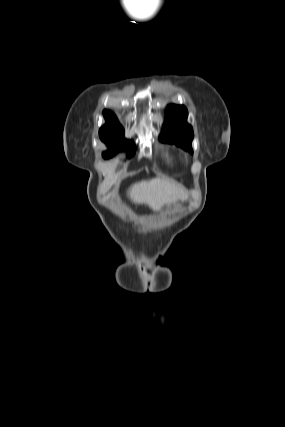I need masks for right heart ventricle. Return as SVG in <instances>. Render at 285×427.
I'll use <instances>...</instances> for the list:
<instances>
[{
  "instance_id": "obj_1",
  "label": "right heart ventricle",
  "mask_w": 285,
  "mask_h": 427,
  "mask_svg": "<svg viewBox=\"0 0 285 427\" xmlns=\"http://www.w3.org/2000/svg\"><path fill=\"white\" fill-rule=\"evenodd\" d=\"M166 158L169 159V160H171L173 157H172V155L170 153H167L166 154Z\"/></svg>"
}]
</instances>
